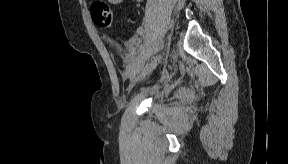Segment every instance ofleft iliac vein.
<instances>
[{
  "mask_svg": "<svg viewBox=\"0 0 288 164\" xmlns=\"http://www.w3.org/2000/svg\"><path fill=\"white\" fill-rule=\"evenodd\" d=\"M145 69L146 67H142L141 70L134 76V79L136 80L139 77L141 71H144Z\"/></svg>",
  "mask_w": 288,
  "mask_h": 164,
  "instance_id": "left-iliac-vein-1",
  "label": "left iliac vein"
}]
</instances>
